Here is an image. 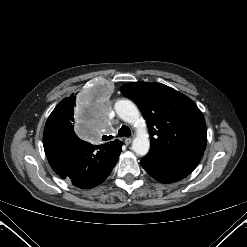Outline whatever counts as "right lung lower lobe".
Segmentation results:
<instances>
[{
    "instance_id": "1",
    "label": "right lung lower lobe",
    "mask_w": 247,
    "mask_h": 247,
    "mask_svg": "<svg viewBox=\"0 0 247 247\" xmlns=\"http://www.w3.org/2000/svg\"><path fill=\"white\" fill-rule=\"evenodd\" d=\"M122 142L92 145L77 137L74 128L47 121L43 146L52 169L81 189L102 183L115 166Z\"/></svg>"
}]
</instances>
